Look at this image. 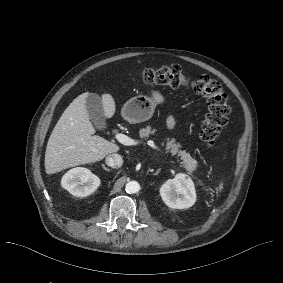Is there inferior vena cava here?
Instances as JSON below:
<instances>
[{
	"label": "inferior vena cava",
	"mask_w": 283,
	"mask_h": 283,
	"mask_svg": "<svg viewBox=\"0 0 283 283\" xmlns=\"http://www.w3.org/2000/svg\"><path fill=\"white\" fill-rule=\"evenodd\" d=\"M105 161L112 168H119L123 164V159L119 154H110L106 157Z\"/></svg>",
	"instance_id": "inferior-vena-cava-1"
}]
</instances>
